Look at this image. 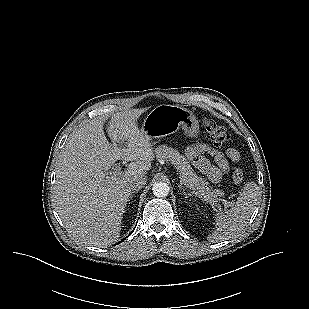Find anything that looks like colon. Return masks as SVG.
I'll return each instance as SVG.
<instances>
[{
    "mask_svg": "<svg viewBox=\"0 0 309 309\" xmlns=\"http://www.w3.org/2000/svg\"><path fill=\"white\" fill-rule=\"evenodd\" d=\"M205 130L209 136V138L217 145V146H226L230 141V136L226 129L216 123L213 120L207 119L204 121ZM245 170L241 167H238L233 172V181L236 184H240L243 182L245 178Z\"/></svg>",
    "mask_w": 309,
    "mask_h": 309,
    "instance_id": "1",
    "label": "colon"
}]
</instances>
